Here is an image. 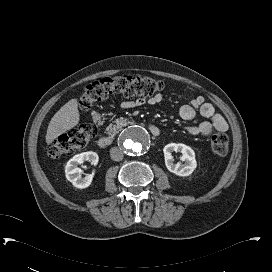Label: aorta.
Listing matches in <instances>:
<instances>
[{"mask_svg":"<svg viewBox=\"0 0 272 272\" xmlns=\"http://www.w3.org/2000/svg\"><path fill=\"white\" fill-rule=\"evenodd\" d=\"M148 132L140 126L127 128L120 137V145L130 155H141L150 147Z\"/></svg>","mask_w":272,"mask_h":272,"instance_id":"obj_1","label":"aorta"}]
</instances>
